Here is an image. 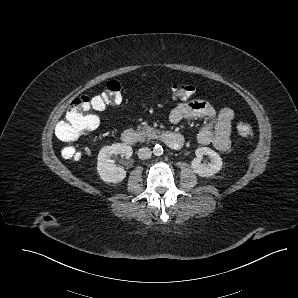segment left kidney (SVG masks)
I'll return each mask as SVG.
<instances>
[{"label":"left kidney","instance_id":"left-kidney-1","mask_svg":"<svg viewBox=\"0 0 298 298\" xmlns=\"http://www.w3.org/2000/svg\"><path fill=\"white\" fill-rule=\"evenodd\" d=\"M196 158L191 162V167L194 173L202 177H210L219 172L223 162L218 153L208 147H199L195 151ZM204 155H208L210 163L202 164L201 161Z\"/></svg>","mask_w":298,"mask_h":298}]
</instances>
